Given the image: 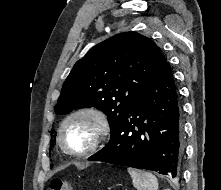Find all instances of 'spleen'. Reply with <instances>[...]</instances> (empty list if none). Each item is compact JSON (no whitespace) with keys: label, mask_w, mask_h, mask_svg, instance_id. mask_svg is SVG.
Masks as SVG:
<instances>
[{"label":"spleen","mask_w":221,"mask_h":190,"mask_svg":"<svg viewBox=\"0 0 221 190\" xmlns=\"http://www.w3.org/2000/svg\"><path fill=\"white\" fill-rule=\"evenodd\" d=\"M127 171L132 178L133 186L137 190H158V180L152 173L131 167Z\"/></svg>","instance_id":"obj_1"}]
</instances>
